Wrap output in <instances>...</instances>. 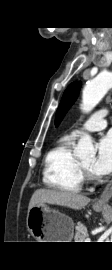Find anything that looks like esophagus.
<instances>
[{
  "instance_id": "obj_1",
  "label": "esophagus",
  "mask_w": 112,
  "mask_h": 270,
  "mask_svg": "<svg viewBox=\"0 0 112 270\" xmlns=\"http://www.w3.org/2000/svg\"><path fill=\"white\" fill-rule=\"evenodd\" d=\"M112 197V180L107 184L101 195L95 201L96 206H106Z\"/></svg>"
}]
</instances>
